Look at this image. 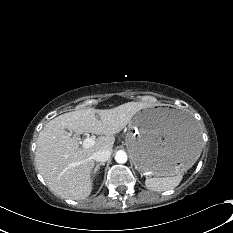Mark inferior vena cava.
I'll return each mask as SVG.
<instances>
[{
    "mask_svg": "<svg viewBox=\"0 0 233 233\" xmlns=\"http://www.w3.org/2000/svg\"><path fill=\"white\" fill-rule=\"evenodd\" d=\"M111 156V151L109 149H101L93 153L92 159L104 163L106 162Z\"/></svg>",
    "mask_w": 233,
    "mask_h": 233,
    "instance_id": "1",
    "label": "inferior vena cava"
}]
</instances>
